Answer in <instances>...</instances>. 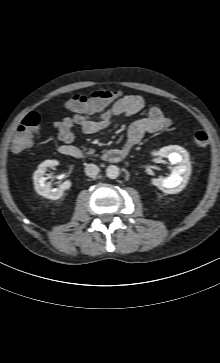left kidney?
I'll use <instances>...</instances> for the list:
<instances>
[{"label":"left kidney","mask_w":220,"mask_h":363,"mask_svg":"<svg viewBox=\"0 0 220 363\" xmlns=\"http://www.w3.org/2000/svg\"><path fill=\"white\" fill-rule=\"evenodd\" d=\"M153 155L167 157L177 166L173 168L169 177L152 179L151 184L168 194L180 192L186 186L191 174V163L187 151L179 146L171 145L153 152Z\"/></svg>","instance_id":"5707ae66"}]
</instances>
